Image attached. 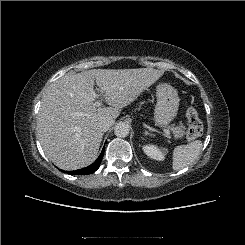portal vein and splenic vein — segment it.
Wrapping results in <instances>:
<instances>
[{
	"label": "portal vein and splenic vein",
	"mask_w": 245,
	"mask_h": 245,
	"mask_svg": "<svg viewBox=\"0 0 245 245\" xmlns=\"http://www.w3.org/2000/svg\"><path fill=\"white\" fill-rule=\"evenodd\" d=\"M100 92L101 93H103V89H101L100 90ZM102 105V101H97V102H95L94 104H93V108H97V107H99V106H101ZM77 116H87V114L86 113H83V112H79V113H77L76 114ZM163 132L167 135V136H169L170 137V131L168 130V129H163Z\"/></svg>",
	"instance_id": "18ae733b"
}]
</instances>
